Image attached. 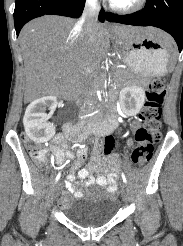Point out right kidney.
<instances>
[{
  "instance_id": "ca27d5eb",
  "label": "right kidney",
  "mask_w": 183,
  "mask_h": 246,
  "mask_svg": "<svg viewBox=\"0 0 183 246\" xmlns=\"http://www.w3.org/2000/svg\"><path fill=\"white\" fill-rule=\"evenodd\" d=\"M57 99L54 96H46L33 101L26 109L23 118L25 132L35 143L49 141L55 134V126L47 122L48 107H56Z\"/></svg>"
}]
</instances>
